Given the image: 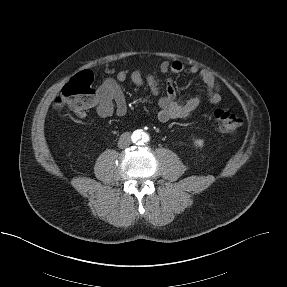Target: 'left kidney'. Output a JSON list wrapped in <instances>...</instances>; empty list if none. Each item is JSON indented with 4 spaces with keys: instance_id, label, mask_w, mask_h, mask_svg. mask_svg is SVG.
I'll return each instance as SVG.
<instances>
[{
    "instance_id": "obj_1",
    "label": "left kidney",
    "mask_w": 287,
    "mask_h": 287,
    "mask_svg": "<svg viewBox=\"0 0 287 287\" xmlns=\"http://www.w3.org/2000/svg\"><path fill=\"white\" fill-rule=\"evenodd\" d=\"M204 144V141L202 139H196L195 140V145L198 147H202Z\"/></svg>"
}]
</instances>
